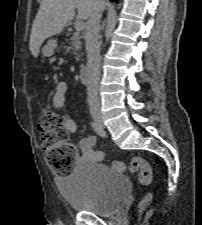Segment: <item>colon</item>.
I'll return each instance as SVG.
<instances>
[{
	"mask_svg": "<svg viewBox=\"0 0 202 225\" xmlns=\"http://www.w3.org/2000/svg\"><path fill=\"white\" fill-rule=\"evenodd\" d=\"M37 129L41 134L42 147L48 166L56 176L66 177L74 169L76 160L79 157L78 146L68 140V133L62 126V119L52 111H42ZM117 169H123V164L114 161ZM129 171L137 175L142 185H149L153 181V171L149 162L143 157H133L130 160ZM152 200L151 194H146L140 202V209H145Z\"/></svg>",
	"mask_w": 202,
	"mask_h": 225,
	"instance_id": "5ec220e1",
	"label": "colon"
}]
</instances>
